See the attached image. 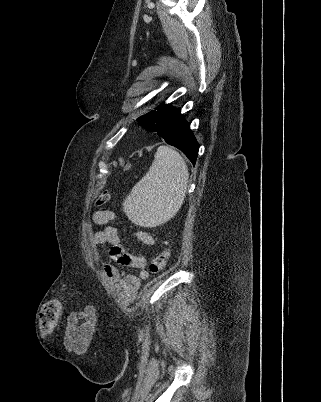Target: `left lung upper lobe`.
<instances>
[{"label": "left lung upper lobe", "instance_id": "obj_1", "mask_svg": "<svg viewBox=\"0 0 321 402\" xmlns=\"http://www.w3.org/2000/svg\"><path fill=\"white\" fill-rule=\"evenodd\" d=\"M159 109L160 107H157L156 110H152L147 114L137 118V121L148 131L155 132Z\"/></svg>", "mask_w": 321, "mask_h": 402}]
</instances>
